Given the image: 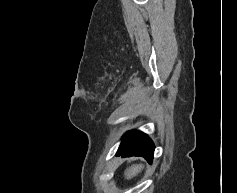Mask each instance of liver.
<instances>
[{
	"instance_id": "liver-1",
	"label": "liver",
	"mask_w": 237,
	"mask_h": 193,
	"mask_svg": "<svg viewBox=\"0 0 237 193\" xmlns=\"http://www.w3.org/2000/svg\"><path fill=\"white\" fill-rule=\"evenodd\" d=\"M144 168L143 164H136V165H132L131 167L127 168L125 170V177L126 179H131L135 176H137Z\"/></svg>"
}]
</instances>
